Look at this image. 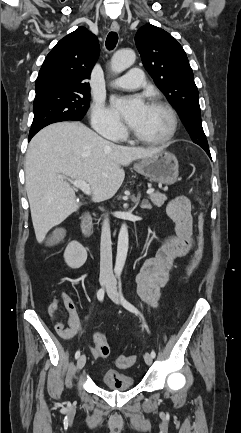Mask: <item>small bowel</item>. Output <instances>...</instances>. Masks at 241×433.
<instances>
[{
	"label": "small bowel",
	"mask_w": 241,
	"mask_h": 433,
	"mask_svg": "<svg viewBox=\"0 0 241 433\" xmlns=\"http://www.w3.org/2000/svg\"><path fill=\"white\" fill-rule=\"evenodd\" d=\"M167 214L175 222L176 235L167 239L154 257L142 262L136 278L138 294L153 308L158 306L162 289L169 282L174 261L188 255L192 248V215L189 199L183 195L173 198L167 205ZM61 299L68 314L67 324L59 320V305L56 300L50 303L48 314L54 322L57 334L65 340H70L81 330V320L72 297L62 292ZM93 340L95 345L91 347V352L95 358H99L97 347L105 340L99 329L94 330Z\"/></svg>",
	"instance_id": "1"
}]
</instances>
